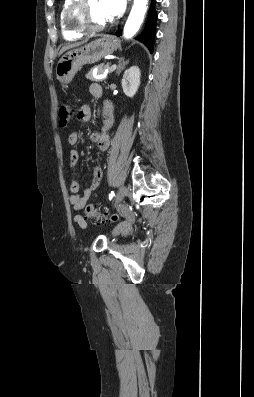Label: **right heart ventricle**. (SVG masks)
Returning a JSON list of instances; mask_svg holds the SVG:
<instances>
[{
    "label": "right heart ventricle",
    "mask_w": 254,
    "mask_h": 397,
    "mask_svg": "<svg viewBox=\"0 0 254 397\" xmlns=\"http://www.w3.org/2000/svg\"><path fill=\"white\" fill-rule=\"evenodd\" d=\"M73 2H74V0H64L62 3L61 9H60V13H59L60 32H61L62 37L68 41H74L83 35V33H81V32H76V31L71 30L65 22L66 11H67L68 7Z\"/></svg>",
    "instance_id": "right-heart-ventricle-1"
}]
</instances>
